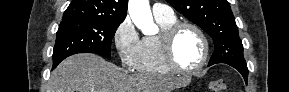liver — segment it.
<instances>
[{"instance_id": "liver-1", "label": "liver", "mask_w": 289, "mask_h": 92, "mask_svg": "<svg viewBox=\"0 0 289 92\" xmlns=\"http://www.w3.org/2000/svg\"><path fill=\"white\" fill-rule=\"evenodd\" d=\"M186 83L161 75H127L98 55L80 53L57 66L46 92H172Z\"/></svg>"}]
</instances>
